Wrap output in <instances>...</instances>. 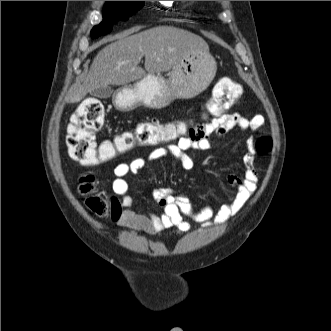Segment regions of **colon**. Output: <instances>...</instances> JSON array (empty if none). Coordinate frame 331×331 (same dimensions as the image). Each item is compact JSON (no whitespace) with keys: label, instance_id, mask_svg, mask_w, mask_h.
Here are the masks:
<instances>
[{"label":"colon","instance_id":"colon-1","mask_svg":"<svg viewBox=\"0 0 331 331\" xmlns=\"http://www.w3.org/2000/svg\"><path fill=\"white\" fill-rule=\"evenodd\" d=\"M243 93L242 86L237 82L223 78L217 83L210 100L208 111L211 117L223 115L230 109ZM104 124V107L95 98L82 102L74 113L68 127L67 146L70 156L83 165H98L109 161L119 154L125 153L137 146L165 144L187 134L192 126L186 124L161 123L155 120L140 122L133 130L125 131L111 140L97 144L94 133ZM271 140L262 137L257 142V150L263 154L270 150ZM79 189L88 194L94 189L91 175L80 180ZM86 205L96 214L101 215L107 210V202L93 195L87 198Z\"/></svg>","mask_w":331,"mask_h":331}]
</instances>
